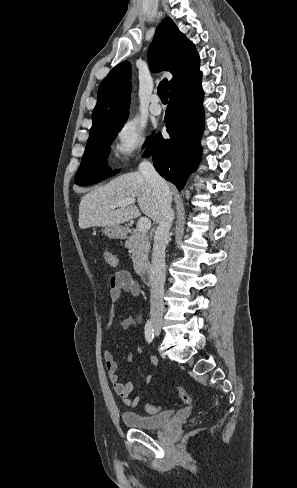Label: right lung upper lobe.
Listing matches in <instances>:
<instances>
[{"instance_id":"1","label":"right lung upper lobe","mask_w":297,"mask_h":488,"mask_svg":"<svg viewBox=\"0 0 297 488\" xmlns=\"http://www.w3.org/2000/svg\"><path fill=\"white\" fill-rule=\"evenodd\" d=\"M148 62L153 72L167 70L172 73L171 91L201 75L199 56L194 45L170 18L162 21L156 30L148 50ZM130 79L131 64L124 61L115 66L102 81L92 113L90 135L103 127L124 125L129 114Z\"/></svg>"}]
</instances>
